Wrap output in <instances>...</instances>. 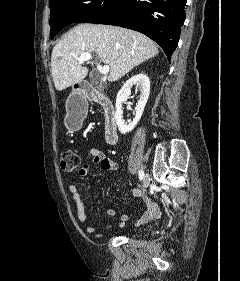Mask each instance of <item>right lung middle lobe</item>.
Segmentation results:
<instances>
[{"label": "right lung middle lobe", "mask_w": 240, "mask_h": 281, "mask_svg": "<svg viewBox=\"0 0 240 281\" xmlns=\"http://www.w3.org/2000/svg\"><path fill=\"white\" fill-rule=\"evenodd\" d=\"M117 1L118 0H51V38L70 23H92L109 11Z\"/></svg>", "instance_id": "right-lung-middle-lobe-1"}]
</instances>
